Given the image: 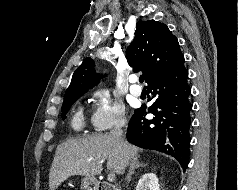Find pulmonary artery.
<instances>
[{"mask_svg":"<svg viewBox=\"0 0 238 190\" xmlns=\"http://www.w3.org/2000/svg\"><path fill=\"white\" fill-rule=\"evenodd\" d=\"M136 81H137V78L135 76L130 78L131 85H130L129 91L133 96L138 97L141 95L142 89L138 85H136Z\"/></svg>","mask_w":238,"mask_h":190,"instance_id":"pulmonary-artery-1","label":"pulmonary artery"}]
</instances>
